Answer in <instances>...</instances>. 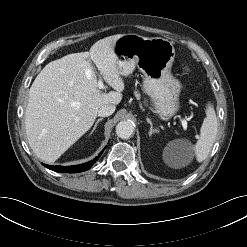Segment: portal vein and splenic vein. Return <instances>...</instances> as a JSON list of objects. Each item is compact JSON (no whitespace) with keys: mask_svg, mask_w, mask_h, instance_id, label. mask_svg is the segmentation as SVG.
Segmentation results:
<instances>
[{"mask_svg":"<svg viewBox=\"0 0 247 247\" xmlns=\"http://www.w3.org/2000/svg\"><path fill=\"white\" fill-rule=\"evenodd\" d=\"M98 88L99 89H105V86H104L103 81L101 79H99V81H98ZM181 123H182L184 130H186L187 129V120L185 118H182Z\"/></svg>","mask_w":247,"mask_h":247,"instance_id":"18ae733b","label":"portal vein and splenic vein"}]
</instances>
